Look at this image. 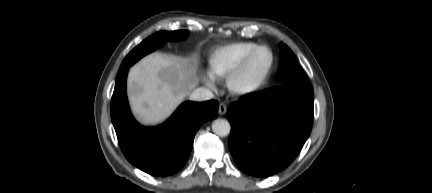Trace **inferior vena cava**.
<instances>
[{
	"mask_svg": "<svg viewBox=\"0 0 432 193\" xmlns=\"http://www.w3.org/2000/svg\"><path fill=\"white\" fill-rule=\"evenodd\" d=\"M214 97L211 90L207 88H197L190 94V100L193 101H206Z\"/></svg>",
	"mask_w": 432,
	"mask_h": 193,
	"instance_id": "602c4592",
	"label": "inferior vena cava"
}]
</instances>
